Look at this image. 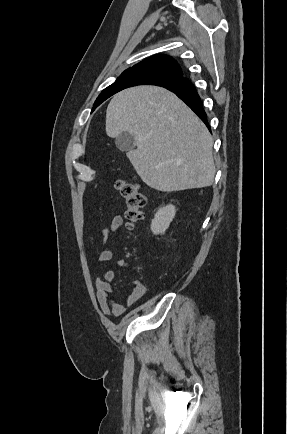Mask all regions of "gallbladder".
I'll list each match as a JSON object with an SVG mask.
<instances>
[{"label": "gallbladder", "mask_w": 287, "mask_h": 434, "mask_svg": "<svg viewBox=\"0 0 287 434\" xmlns=\"http://www.w3.org/2000/svg\"><path fill=\"white\" fill-rule=\"evenodd\" d=\"M116 147L120 151L130 152L136 147L134 136L129 132H122L115 139Z\"/></svg>", "instance_id": "1"}]
</instances>
